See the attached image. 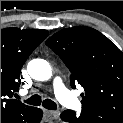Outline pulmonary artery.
<instances>
[{"instance_id":"obj_1","label":"pulmonary artery","mask_w":123,"mask_h":123,"mask_svg":"<svg viewBox=\"0 0 123 123\" xmlns=\"http://www.w3.org/2000/svg\"><path fill=\"white\" fill-rule=\"evenodd\" d=\"M53 89L57 99L69 108H78L79 100L71 94V92L64 86L62 80L58 77L53 80Z\"/></svg>"}]
</instances>
